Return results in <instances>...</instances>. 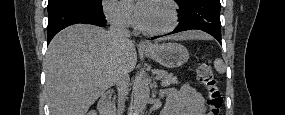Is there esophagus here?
<instances>
[{"label":"esophagus","instance_id":"1","mask_svg":"<svg viewBox=\"0 0 285 115\" xmlns=\"http://www.w3.org/2000/svg\"><path fill=\"white\" fill-rule=\"evenodd\" d=\"M138 47L139 48H148V47H150V44L146 41H140L138 44Z\"/></svg>","mask_w":285,"mask_h":115}]
</instances>
